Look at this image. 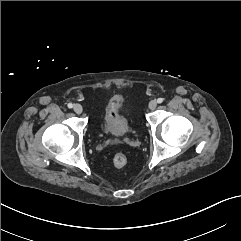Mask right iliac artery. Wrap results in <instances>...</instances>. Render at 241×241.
<instances>
[{
	"mask_svg": "<svg viewBox=\"0 0 241 241\" xmlns=\"http://www.w3.org/2000/svg\"><path fill=\"white\" fill-rule=\"evenodd\" d=\"M68 108H73V104L72 103H68Z\"/></svg>",
	"mask_w": 241,
	"mask_h": 241,
	"instance_id": "obj_1",
	"label": "right iliac artery"
}]
</instances>
